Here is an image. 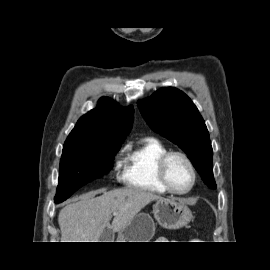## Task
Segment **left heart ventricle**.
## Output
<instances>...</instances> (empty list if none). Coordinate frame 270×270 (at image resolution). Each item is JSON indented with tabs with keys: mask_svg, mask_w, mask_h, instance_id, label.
<instances>
[{
	"mask_svg": "<svg viewBox=\"0 0 270 270\" xmlns=\"http://www.w3.org/2000/svg\"><path fill=\"white\" fill-rule=\"evenodd\" d=\"M168 177L174 188L187 189L192 181V174L187 163L180 157H173L168 164Z\"/></svg>",
	"mask_w": 270,
	"mask_h": 270,
	"instance_id": "1",
	"label": "left heart ventricle"
}]
</instances>
